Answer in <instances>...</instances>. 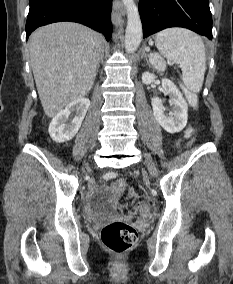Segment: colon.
<instances>
[{"mask_svg":"<svg viewBox=\"0 0 233 284\" xmlns=\"http://www.w3.org/2000/svg\"><path fill=\"white\" fill-rule=\"evenodd\" d=\"M150 62L152 66L159 70L164 71L166 69V61L162 56L157 53L150 55ZM187 100L192 107H197L199 103L198 96L195 92L188 90L182 86ZM186 138L190 139L193 135L192 130L186 131ZM104 179L107 181H113L118 193L122 194L126 190V181L119 178L115 172H107L104 174ZM136 211L141 218H146L149 215V206L146 202H137ZM100 238L103 245L118 256L125 254L136 243L138 238V232L136 228L122 221H113L104 225L100 232Z\"/></svg>","mask_w":233,"mask_h":284,"instance_id":"1","label":"colon"}]
</instances>
